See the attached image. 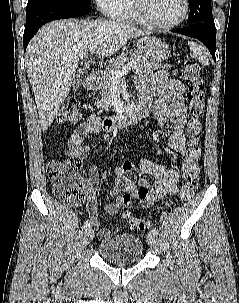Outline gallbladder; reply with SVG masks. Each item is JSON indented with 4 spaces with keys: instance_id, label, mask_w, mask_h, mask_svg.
<instances>
[{
    "instance_id": "gallbladder-1",
    "label": "gallbladder",
    "mask_w": 239,
    "mask_h": 303,
    "mask_svg": "<svg viewBox=\"0 0 239 303\" xmlns=\"http://www.w3.org/2000/svg\"><path fill=\"white\" fill-rule=\"evenodd\" d=\"M84 80V74L82 71H78L72 81V87L77 88L80 87Z\"/></svg>"
}]
</instances>
